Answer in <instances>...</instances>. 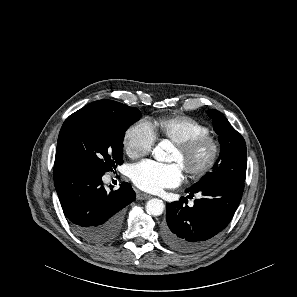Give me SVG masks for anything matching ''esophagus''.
<instances>
[{
  "label": "esophagus",
  "instance_id": "obj_1",
  "mask_svg": "<svg viewBox=\"0 0 297 297\" xmlns=\"http://www.w3.org/2000/svg\"><path fill=\"white\" fill-rule=\"evenodd\" d=\"M136 198L138 200H147V199L151 198V195L142 193V192H137Z\"/></svg>",
  "mask_w": 297,
  "mask_h": 297
}]
</instances>
